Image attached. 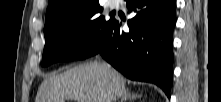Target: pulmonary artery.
<instances>
[{
	"label": "pulmonary artery",
	"mask_w": 221,
	"mask_h": 102,
	"mask_svg": "<svg viewBox=\"0 0 221 102\" xmlns=\"http://www.w3.org/2000/svg\"><path fill=\"white\" fill-rule=\"evenodd\" d=\"M117 4H118V1H117V0H110V1H109V5H110V7H112V8L116 7Z\"/></svg>",
	"instance_id": "pulmonary-artery-1"
}]
</instances>
